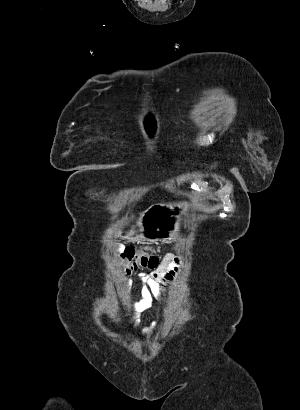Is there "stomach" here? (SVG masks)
<instances>
[{"label": "stomach", "instance_id": "stomach-1", "mask_svg": "<svg viewBox=\"0 0 300 410\" xmlns=\"http://www.w3.org/2000/svg\"><path fill=\"white\" fill-rule=\"evenodd\" d=\"M194 205H197L195 201H192V204L180 202L152 206L140 214L136 222L139 229L135 230L134 226L130 230L121 231L120 235L128 240L161 241L171 239L179 231L182 217Z\"/></svg>", "mask_w": 300, "mask_h": 410}]
</instances>
